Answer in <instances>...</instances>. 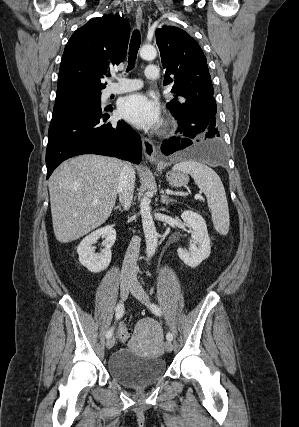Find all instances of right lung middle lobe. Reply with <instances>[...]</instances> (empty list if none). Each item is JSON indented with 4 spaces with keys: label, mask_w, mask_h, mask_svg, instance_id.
Returning a JSON list of instances; mask_svg holds the SVG:
<instances>
[{
    "label": "right lung middle lobe",
    "mask_w": 299,
    "mask_h": 427,
    "mask_svg": "<svg viewBox=\"0 0 299 427\" xmlns=\"http://www.w3.org/2000/svg\"><path fill=\"white\" fill-rule=\"evenodd\" d=\"M83 102L100 103L101 102V93L90 94V95H86V96H82V97H78V98H73L70 100L62 101V102H57L54 105V111L65 108V107H69V106H72L75 104L83 103Z\"/></svg>",
    "instance_id": "right-lung-middle-lobe-1"
}]
</instances>
